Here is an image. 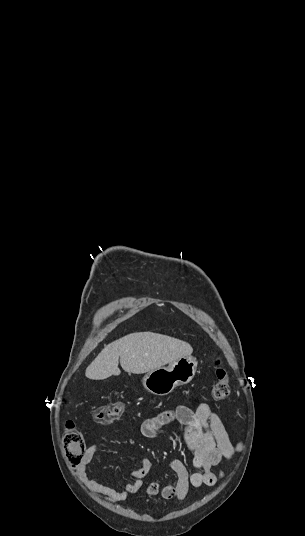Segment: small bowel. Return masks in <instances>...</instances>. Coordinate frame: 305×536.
Masks as SVG:
<instances>
[{"label": "small bowel", "instance_id": "1", "mask_svg": "<svg viewBox=\"0 0 305 536\" xmlns=\"http://www.w3.org/2000/svg\"><path fill=\"white\" fill-rule=\"evenodd\" d=\"M172 422L183 425L184 439L193 454V463L199 469L198 472L190 474L182 461L173 459L169 461L168 467L177 477L174 486H161L157 482L144 485L143 479L148 474L152 461L148 457H143L139 466L131 472L134 482L127 484L125 490L119 491L88 477L90 463L99 451V446L93 445L85 450L77 465V473L86 488L110 503H119L138 494L148 496L160 494L161 497L178 495L179 500H184L190 487L214 486L222 473L218 477L212 468L218 466L223 459L230 458L236 449L218 413L206 403H200L194 409L180 405L146 419L141 425V433L144 437L153 439L164 426Z\"/></svg>", "mask_w": 305, "mask_h": 536}]
</instances>
